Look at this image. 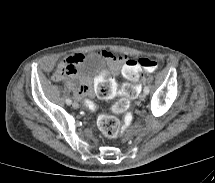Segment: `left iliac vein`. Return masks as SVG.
Returning <instances> with one entry per match:
<instances>
[{
	"instance_id": "obj_1",
	"label": "left iliac vein",
	"mask_w": 215,
	"mask_h": 183,
	"mask_svg": "<svg viewBox=\"0 0 215 183\" xmlns=\"http://www.w3.org/2000/svg\"><path fill=\"white\" fill-rule=\"evenodd\" d=\"M140 100H144L146 98V94L145 93H141L139 96Z\"/></svg>"
}]
</instances>
